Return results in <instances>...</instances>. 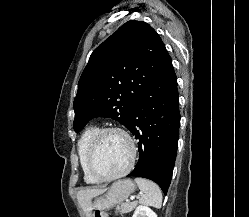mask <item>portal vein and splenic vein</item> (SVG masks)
Wrapping results in <instances>:
<instances>
[{
  "mask_svg": "<svg viewBox=\"0 0 249 217\" xmlns=\"http://www.w3.org/2000/svg\"><path fill=\"white\" fill-rule=\"evenodd\" d=\"M134 199H135V197H134V196H132V197H131V200H134Z\"/></svg>",
  "mask_w": 249,
  "mask_h": 217,
  "instance_id": "obj_1",
  "label": "portal vein and splenic vein"
}]
</instances>
